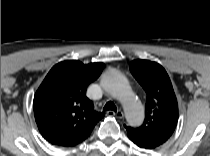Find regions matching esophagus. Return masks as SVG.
<instances>
[{"label": "esophagus", "mask_w": 210, "mask_h": 156, "mask_svg": "<svg viewBox=\"0 0 210 156\" xmlns=\"http://www.w3.org/2000/svg\"><path fill=\"white\" fill-rule=\"evenodd\" d=\"M116 115L121 117V116H123L124 114H123V111H122L121 109H117Z\"/></svg>", "instance_id": "1"}]
</instances>
